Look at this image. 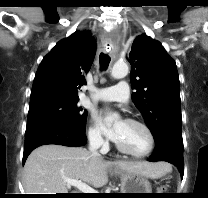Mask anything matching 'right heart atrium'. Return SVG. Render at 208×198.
Here are the masks:
<instances>
[{
    "label": "right heart atrium",
    "instance_id": "obj_1",
    "mask_svg": "<svg viewBox=\"0 0 208 198\" xmlns=\"http://www.w3.org/2000/svg\"><path fill=\"white\" fill-rule=\"evenodd\" d=\"M88 140L91 145L97 148L105 149L107 142L101 135L100 131L95 126H90L88 129Z\"/></svg>",
    "mask_w": 208,
    "mask_h": 198
}]
</instances>
